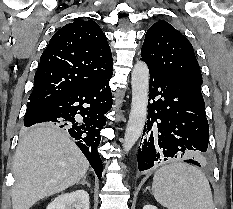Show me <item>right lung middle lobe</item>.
<instances>
[{
    "label": "right lung middle lobe",
    "mask_w": 233,
    "mask_h": 209,
    "mask_svg": "<svg viewBox=\"0 0 233 209\" xmlns=\"http://www.w3.org/2000/svg\"><path fill=\"white\" fill-rule=\"evenodd\" d=\"M43 105H39V104H35V103H28V107H27V111L25 114L24 119L28 118L29 116H31L33 113H35V111H37L40 107H42ZM47 125L50 126H57L54 123H46Z\"/></svg>",
    "instance_id": "1"
}]
</instances>
